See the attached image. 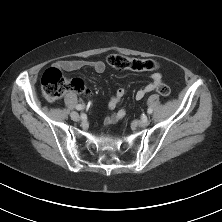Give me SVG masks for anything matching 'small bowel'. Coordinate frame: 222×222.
<instances>
[{"instance_id": "obj_1", "label": "small bowel", "mask_w": 222, "mask_h": 222, "mask_svg": "<svg viewBox=\"0 0 222 222\" xmlns=\"http://www.w3.org/2000/svg\"><path fill=\"white\" fill-rule=\"evenodd\" d=\"M56 68L66 72L77 71L83 68H91L96 73H103L105 71V64L101 60H60L55 64ZM162 76L160 73H153L151 75V82L145 87L139 89L135 93V98L141 100L146 94L155 90L159 85H161ZM126 90L124 87L117 89L115 94L110 98L108 102V108L112 111L107 117L105 122L107 124H115L122 120L126 114L124 109H118V106L124 97Z\"/></svg>"}]
</instances>
